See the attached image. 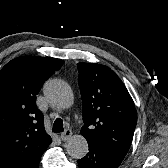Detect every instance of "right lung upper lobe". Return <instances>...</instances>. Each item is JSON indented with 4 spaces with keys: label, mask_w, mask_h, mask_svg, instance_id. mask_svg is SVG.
I'll list each match as a JSON object with an SVG mask.
<instances>
[{
    "label": "right lung upper lobe",
    "mask_w": 168,
    "mask_h": 168,
    "mask_svg": "<svg viewBox=\"0 0 168 168\" xmlns=\"http://www.w3.org/2000/svg\"><path fill=\"white\" fill-rule=\"evenodd\" d=\"M64 61L22 56L0 70V168H38L51 143L35 105L43 83Z\"/></svg>",
    "instance_id": "right-lung-upper-lobe-1"
}]
</instances>
